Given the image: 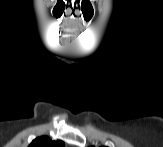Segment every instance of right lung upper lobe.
Masks as SVG:
<instances>
[{
	"label": "right lung upper lobe",
	"mask_w": 163,
	"mask_h": 147,
	"mask_svg": "<svg viewBox=\"0 0 163 147\" xmlns=\"http://www.w3.org/2000/svg\"><path fill=\"white\" fill-rule=\"evenodd\" d=\"M63 141H52L47 136H41L32 141L29 147H63Z\"/></svg>",
	"instance_id": "obj_1"
}]
</instances>
